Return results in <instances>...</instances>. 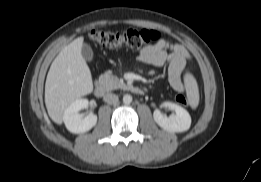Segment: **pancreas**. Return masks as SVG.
Returning <instances> with one entry per match:
<instances>
[{
  "instance_id": "obj_1",
  "label": "pancreas",
  "mask_w": 261,
  "mask_h": 182,
  "mask_svg": "<svg viewBox=\"0 0 261 182\" xmlns=\"http://www.w3.org/2000/svg\"><path fill=\"white\" fill-rule=\"evenodd\" d=\"M100 84H102L106 90L111 91L115 89H126L127 86L124 83L123 79H119L117 76L112 74H102L99 78Z\"/></svg>"
}]
</instances>
